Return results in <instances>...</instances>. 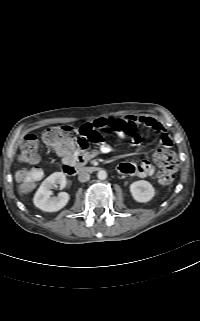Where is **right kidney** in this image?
I'll use <instances>...</instances> for the list:
<instances>
[{
  "label": "right kidney",
  "mask_w": 200,
  "mask_h": 321,
  "mask_svg": "<svg viewBox=\"0 0 200 321\" xmlns=\"http://www.w3.org/2000/svg\"><path fill=\"white\" fill-rule=\"evenodd\" d=\"M66 176L62 172H55L47 177L34 195V205L46 212H56L68 203L70 197L66 192H60L57 197H52L53 187L64 188L66 186Z\"/></svg>",
  "instance_id": "obj_1"
}]
</instances>
